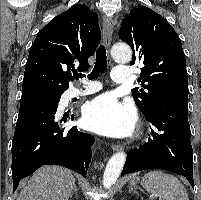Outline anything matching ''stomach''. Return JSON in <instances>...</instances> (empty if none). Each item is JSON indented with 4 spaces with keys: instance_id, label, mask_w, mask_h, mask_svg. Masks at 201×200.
Segmentation results:
<instances>
[{
    "instance_id": "0dacf381",
    "label": "stomach",
    "mask_w": 201,
    "mask_h": 200,
    "mask_svg": "<svg viewBox=\"0 0 201 200\" xmlns=\"http://www.w3.org/2000/svg\"><path fill=\"white\" fill-rule=\"evenodd\" d=\"M137 181H138L137 178H133V179L131 180V184H132V185H135V184L137 183Z\"/></svg>"
}]
</instances>
